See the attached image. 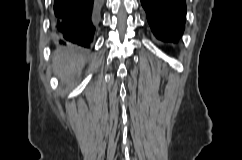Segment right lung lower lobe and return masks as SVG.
I'll use <instances>...</instances> for the list:
<instances>
[{
  "instance_id": "98d812e1",
  "label": "right lung lower lobe",
  "mask_w": 242,
  "mask_h": 160,
  "mask_svg": "<svg viewBox=\"0 0 242 160\" xmlns=\"http://www.w3.org/2000/svg\"><path fill=\"white\" fill-rule=\"evenodd\" d=\"M102 0H54L52 28L59 43L89 48Z\"/></svg>"
}]
</instances>
